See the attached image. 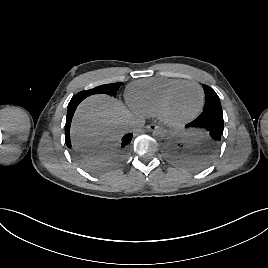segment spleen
Returning <instances> with one entry per match:
<instances>
[{
	"instance_id": "1",
	"label": "spleen",
	"mask_w": 268,
	"mask_h": 268,
	"mask_svg": "<svg viewBox=\"0 0 268 268\" xmlns=\"http://www.w3.org/2000/svg\"><path fill=\"white\" fill-rule=\"evenodd\" d=\"M186 141L195 148H202L207 143L206 127L201 122H194L189 125L185 132Z\"/></svg>"
}]
</instances>
